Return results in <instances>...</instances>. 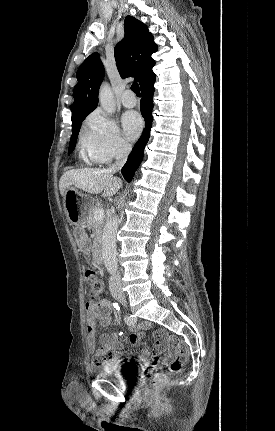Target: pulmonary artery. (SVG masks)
<instances>
[{"label": "pulmonary artery", "instance_id": "pulmonary-artery-1", "mask_svg": "<svg viewBox=\"0 0 275 431\" xmlns=\"http://www.w3.org/2000/svg\"><path fill=\"white\" fill-rule=\"evenodd\" d=\"M121 102L125 107L131 108L136 106L137 99L130 90H126L121 96Z\"/></svg>", "mask_w": 275, "mask_h": 431}]
</instances>
